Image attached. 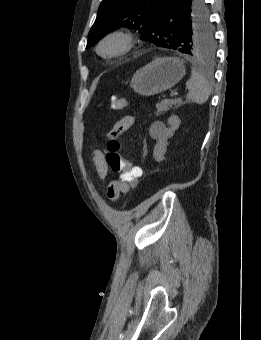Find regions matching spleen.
Segmentation results:
<instances>
[{
	"label": "spleen",
	"mask_w": 261,
	"mask_h": 340,
	"mask_svg": "<svg viewBox=\"0 0 261 340\" xmlns=\"http://www.w3.org/2000/svg\"><path fill=\"white\" fill-rule=\"evenodd\" d=\"M186 88L189 90L186 99L199 105L204 104L211 94L210 83L195 68L191 71V78L186 82Z\"/></svg>",
	"instance_id": "spleen-1"
}]
</instances>
